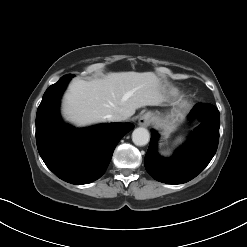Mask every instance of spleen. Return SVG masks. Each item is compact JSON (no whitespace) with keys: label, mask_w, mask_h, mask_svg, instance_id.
Here are the masks:
<instances>
[{"label":"spleen","mask_w":247,"mask_h":247,"mask_svg":"<svg viewBox=\"0 0 247 247\" xmlns=\"http://www.w3.org/2000/svg\"><path fill=\"white\" fill-rule=\"evenodd\" d=\"M182 140L181 138H179L177 141H176V144L180 143Z\"/></svg>","instance_id":"1"}]
</instances>
